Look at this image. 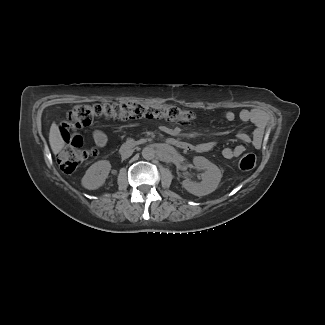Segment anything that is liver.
<instances>
[{"label": "liver", "mask_w": 325, "mask_h": 325, "mask_svg": "<svg viewBox=\"0 0 325 325\" xmlns=\"http://www.w3.org/2000/svg\"><path fill=\"white\" fill-rule=\"evenodd\" d=\"M49 143L53 153L58 154L64 147L65 142L56 123H52L49 132Z\"/></svg>", "instance_id": "1"}]
</instances>
